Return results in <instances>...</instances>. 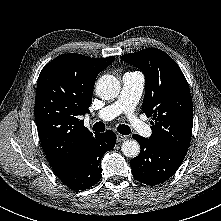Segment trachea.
<instances>
[{"label":"trachea","instance_id":"trachea-1","mask_svg":"<svg viewBox=\"0 0 221 221\" xmlns=\"http://www.w3.org/2000/svg\"><path fill=\"white\" fill-rule=\"evenodd\" d=\"M93 130L96 132H104L105 130V125L102 122H96L93 125ZM118 131L123 134V135H128L131 133V129L128 125H119L118 126Z\"/></svg>","mask_w":221,"mask_h":221}]
</instances>
